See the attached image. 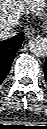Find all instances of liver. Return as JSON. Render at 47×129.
<instances>
[{"label": "liver", "mask_w": 47, "mask_h": 129, "mask_svg": "<svg viewBox=\"0 0 47 129\" xmlns=\"http://www.w3.org/2000/svg\"><path fill=\"white\" fill-rule=\"evenodd\" d=\"M44 0H0V27L8 25L24 14L35 13Z\"/></svg>", "instance_id": "6515ba94"}]
</instances>
